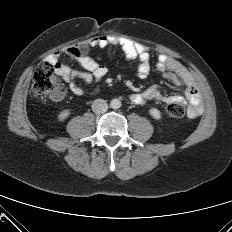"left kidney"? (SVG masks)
<instances>
[{
    "label": "left kidney",
    "mask_w": 232,
    "mask_h": 232,
    "mask_svg": "<svg viewBox=\"0 0 232 232\" xmlns=\"http://www.w3.org/2000/svg\"><path fill=\"white\" fill-rule=\"evenodd\" d=\"M150 115L154 118V119H160L161 118V113L158 109L156 108H152L149 110Z\"/></svg>",
    "instance_id": "left-kidney-1"
}]
</instances>
